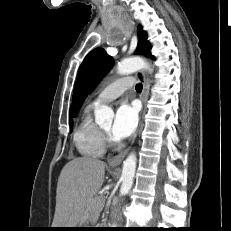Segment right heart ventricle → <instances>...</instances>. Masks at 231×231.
I'll list each match as a JSON object with an SVG mask.
<instances>
[{
  "mask_svg": "<svg viewBox=\"0 0 231 231\" xmlns=\"http://www.w3.org/2000/svg\"><path fill=\"white\" fill-rule=\"evenodd\" d=\"M94 108L95 106L89 105L84 110L73 133V142L77 151L86 158L101 157L106 151L100 128L92 118Z\"/></svg>",
  "mask_w": 231,
  "mask_h": 231,
  "instance_id": "e07e8e85",
  "label": "right heart ventricle"
}]
</instances>
